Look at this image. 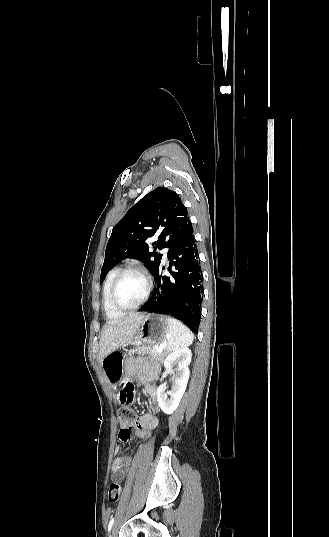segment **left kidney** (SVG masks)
<instances>
[{
    "label": "left kidney",
    "mask_w": 329,
    "mask_h": 537,
    "mask_svg": "<svg viewBox=\"0 0 329 537\" xmlns=\"http://www.w3.org/2000/svg\"><path fill=\"white\" fill-rule=\"evenodd\" d=\"M191 362V351L188 348H183L170 353L164 360V367L167 371H171L174 364H177L176 372L173 375V386L170 398L165 397L166 384H162L157 389V400L162 411L165 414H172L179 406L183 394L187 387L189 379L188 366ZM166 377L163 373L162 378Z\"/></svg>",
    "instance_id": "1"
}]
</instances>
